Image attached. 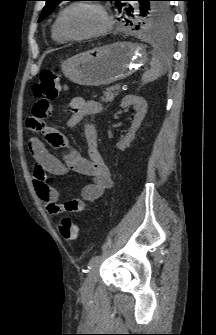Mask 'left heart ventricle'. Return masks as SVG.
<instances>
[{
  "instance_id": "b2bd125f",
  "label": "left heart ventricle",
  "mask_w": 216,
  "mask_h": 335,
  "mask_svg": "<svg viewBox=\"0 0 216 335\" xmlns=\"http://www.w3.org/2000/svg\"><path fill=\"white\" fill-rule=\"evenodd\" d=\"M64 30L71 35H82L102 29L105 19L92 6L81 5L70 9L62 19Z\"/></svg>"
}]
</instances>
